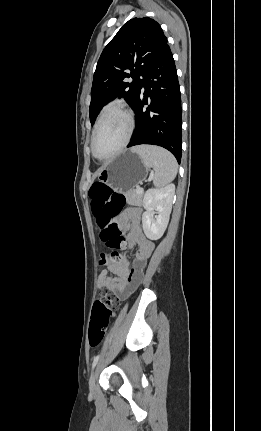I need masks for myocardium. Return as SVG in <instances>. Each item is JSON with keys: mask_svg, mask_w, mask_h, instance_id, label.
Wrapping results in <instances>:
<instances>
[{"mask_svg": "<svg viewBox=\"0 0 261 431\" xmlns=\"http://www.w3.org/2000/svg\"><path fill=\"white\" fill-rule=\"evenodd\" d=\"M114 111L120 112L126 118L127 125H128L127 133H126V136H125L123 142L121 143V145L112 154H110V155H108L106 157H99L96 154V151H95V138H96V134H97L98 129H99L100 125L102 124L105 116L108 113L114 112ZM134 128H135L134 116H133V113L128 108H126V107H124L122 105H111V106H108L107 108H105L102 111V113L100 114V116H99V118L97 120V123H96V125L94 127V130L92 132V136H91V150H92L93 156L95 158L99 159V160H102V161L108 160V159H111V158L117 156L129 144V142L131 140V137H132V134H133V131H134Z\"/></svg>", "mask_w": 261, "mask_h": 431, "instance_id": "1", "label": "myocardium"}]
</instances>
